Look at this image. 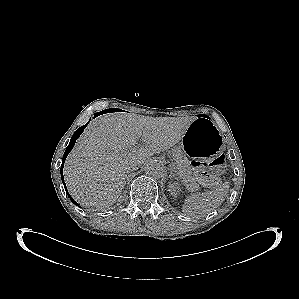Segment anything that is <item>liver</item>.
Listing matches in <instances>:
<instances>
[{
    "label": "liver",
    "instance_id": "6515ba94",
    "mask_svg": "<svg viewBox=\"0 0 299 299\" xmlns=\"http://www.w3.org/2000/svg\"><path fill=\"white\" fill-rule=\"evenodd\" d=\"M194 117H149L110 113L93 120L66 159L68 191L82 206L99 210L120 196L132 163L138 166L184 136ZM145 147H137L138 139Z\"/></svg>",
    "mask_w": 299,
    "mask_h": 299
}]
</instances>
